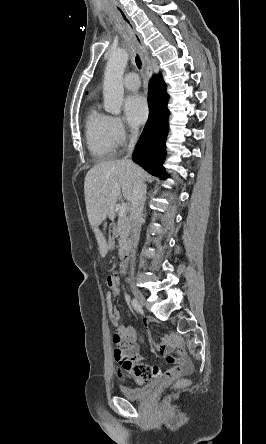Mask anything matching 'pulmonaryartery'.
Returning <instances> with one entry per match:
<instances>
[{"label": "pulmonary artery", "mask_w": 266, "mask_h": 444, "mask_svg": "<svg viewBox=\"0 0 266 444\" xmlns=\"http://www.w3.org/2000/svg\"><path fill=\"white\" fill-rule=\"evenodd\" d=\"M123 84L126 88L130 90H135L139 88L140 81L138 75L134 72L127 73L123 78Z\"/></svg>", "instance_id": "e3ab8cb5"}]
</instances>
